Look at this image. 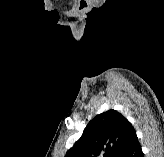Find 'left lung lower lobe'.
Instances as JSON below:
<instances>
[{
  "label": "left lung lower lobe",
  "mask_w": 164,
  "mask_h": 157,
  "mask_svg": "<svg viewBox=\"0 0 164 157\" xmlns=\"http://www.w3.org/2000/svg\"><path fill=\"white\" fill-rule=\"evenodd\" d=\"M119 157H144L136 133L130 138Z\"/></svg>",
  "instance_id": "1"
}]
</instances>
